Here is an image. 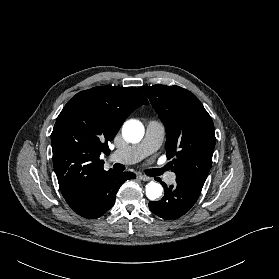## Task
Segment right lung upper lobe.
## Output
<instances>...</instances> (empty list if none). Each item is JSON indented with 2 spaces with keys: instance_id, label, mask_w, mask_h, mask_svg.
I'll return each mask as SVG.
<instances>
[{
  "instance_id": "right-lung-upper-lobe-1",
  "label": "right lung upper lobe",
  "mask_w": 279,
  "mask_h": 279,
  "mask_svg": "<svg viewBox=\"0 0 279 279\" xmlns=\"http://www.w3.org/2000/svg\"><path fill=\"white\" fill-rule=\"evenodd\" d=\"M148 100L135 87H95L76 94L59 114L51 144L63 197L74 210L106 173L101 152L109 151L127 116Z\"/></svg>"
}]
</instances>
